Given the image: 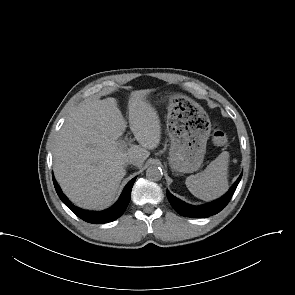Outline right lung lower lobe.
Listing matches in <instances>:
<instances>
[{
    "label": "right lung lower lobe",
    "instance_id": "98d812e1",
    "mask_svg": "<svg viewBox=\"0 0 295 295\" xmlns=\"http://www.w3.org/2000/svg\"><path fill=\"white\" fill-rule=\"evenodd\" d=\"M135 179L136 177L128 182L119 200L116 202V204L113 207L101 212H92V211H86V210L77 208L76 206L71 204V202L67 199V197L62 193L54 177H53V183L59 198L73 213H75L79 218H81L82 220L86 222L102 224V223H108V222L114 221L123 214V212L125 211L130 201L131 190L135 182Z\"/></svg>",
    "mask_w": 295,
    "mask_h": 295
}]
</instances>
